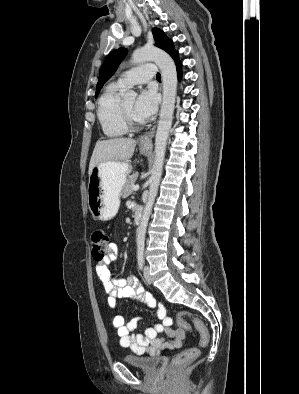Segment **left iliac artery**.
<instances>
[{"label": "left iliac artery", "instance_id": "44dca946", "mask_svg": "<svg viewBox=\"0 0 299 394\" xmlns=\"http://www.w3.org/2000/svg\"><path fill=\"white\" fill-rule=\"evenodd\" d=\"M144 266V257L143 256H138V267L139 269H142Z\"/></svg>", "mask_w": 299, "mask_h": 394}]
</instances>
